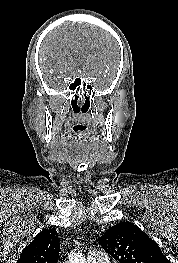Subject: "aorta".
<instances>
[{
  "mask_svg": "<svg viewBox=\"0 0 178 263\" xmlns=\"http://www.w3.org/2000/svg\"><path fill=\"white\" fill-rule=\"evenodd\" d=\"M68 263H87V261L81 253L75 252L70 255Z\"/></svg>",
  "mask_w": 178,
  "mask_h": 263,
  "instance_id": "762f6f07",
  "label": "aorta"
}]
</instances>
